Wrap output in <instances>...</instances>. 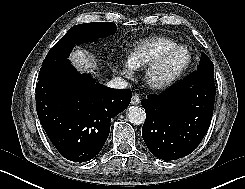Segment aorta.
<instances>
[{
  "mask_svg": "<svg viewBox=\"0 0 245 189\" xmlns=\"http://www.w3.org/2000/svg\"><path fill=\"white\" fill-rule=\"evenodd\" d=\"M127 116L132 124L140 125L144 123L146 119L145 110L138 106H131L127 110Z\"/></svg>",
  "mask_w": 245,
  "mask_h": 189,
  "instance_id": "1",
  "label": "aorta"
}]
</instances>
